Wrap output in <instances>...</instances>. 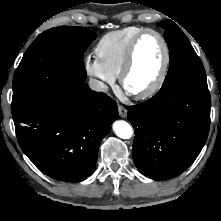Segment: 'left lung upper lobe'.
Listing matches in <instances>:
<instances>
[{"label":"left lung upper lobe","instance_id":"5c2ea615","mask_svg":"<svg viewBox=\"0 0 221 221\" xmlns=\"http://www.w3.org/2000/svg\"><path fill=\"white\" fill-rule=\"evenodd\" d=\"M158 26L165 30L170 55L168 74L162 86L174 81L207 85L202 62L181 29L171 20L162 21Z\"/></svg>","mask_w":221,"mask_h":221}]
</instances>
